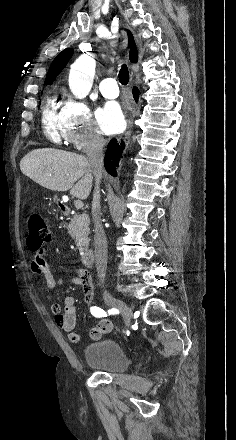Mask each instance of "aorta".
Segmentation results:
<instances>
[{
    "label": "aorta",
    "instance_id": "1",
    "mask_svg": "<svg viewBox=\"0 0 236 440\" xmlns=\"http://www.w3.org/2000/svg\"><path fill=\"white\" fill-rule=\"evenodd\" d=\"M95 60L89 55L80 56L71 66L69 73V87L76 98H85L91 90Z\"/></svg>",
    "mask_w": 236,
    "mask_h": 440
}]
</instances>
